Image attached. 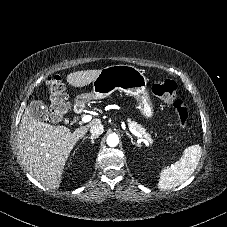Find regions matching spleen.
Returning <instances> with one entry per match:
<instances>
[{
  "instance_id": "spleen-1",
  "label": "spleen",
  "mask_w": 227,
  "mask_h": 227,
  "mask_svg": "<svg viewBox=\"0 0 227 227\" xmlns=\"http://www.w3.org/2000/svg\"><path fill=\"white\" fill-rule=\"evenodd\" d=\"M202 154L200 145H192L184 150L183 156L162 169L158 188L160 190L172 189L186 181L197 168Z\"/></svg>"
}]
</instances>
